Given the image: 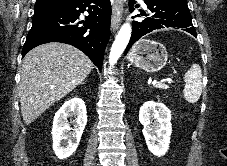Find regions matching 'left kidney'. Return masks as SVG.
<instances>
[{"instance_id": "1", "label": "left kidney", "mask_w": 227, "mask_h": 166, "mask_svg": "<svg viewBox=\"0 0 227 166\" xmlns=\"http://www.w3.org/2000/svg\"><path fill=\"white\" fill-rule=\"evenodd\" d=\"M139 121L149 151L158 157L165 155L172 133L170 110L163 103L146 101L140 107Z\"/></svg>"}]
</instances>
